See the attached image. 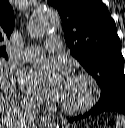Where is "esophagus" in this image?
I'll return each instance as SVG.
<instances>
[{"label":"esophagus","instance_id":"obj_1","mask_svg":"<svg viewBox=\"0 0 125 128\" xmlns=\"http://www.w3.org/2000/svg\"><path fill=\"white\" fill-rule=\"evenodd\" d=\"M42 124H51V118L49 116L43 115L41 117Z\"/></svg>","mask_w":125,"mask_h":128}]
</instances>
